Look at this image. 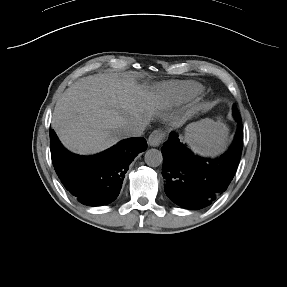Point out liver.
Instances as JSON below:
<instances>
[{
	"instance_id": "1",
	"label": "liver",
	"mask_w": 287,
	"mask_h": 287,
	"mask_svg": "<svg viewBox=\"0 0 287 287\" xmlns=\"http://www.w3.org/2000/svg\"><path fill=\"white\" fill-rule=\"evenodd\" d=\"M166 106V101L142 91L133 79L94 74L63 93L54 108L52 127L70 151L95 154L126 138L122 132L126 124L149 122Z\"/></svg>"
}]
</instances>
